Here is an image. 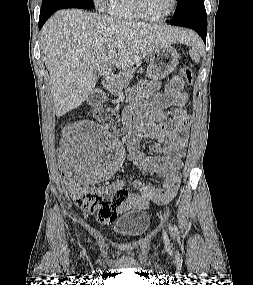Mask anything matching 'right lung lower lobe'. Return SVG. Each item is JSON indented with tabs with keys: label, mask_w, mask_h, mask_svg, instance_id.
I'll use <instances>...</instances> for the list:
<instances>
[{
	"label": "right lung lower lobe",
	"mask_w": 253,
	"mask_h": 285,
	"mask_svg": "<svg viewBox=\"0 0 253 285\" xmlns=\"http://www.w3.org/2000/svg\"><path fill=\"white\" fill-rule=\"evenodd\" d=\"M59 9H46V10H41L40 16H39V29L42 28L46 20Z\"/></svg>",
	"instance_id": "obj_1"
}]
</instances>
